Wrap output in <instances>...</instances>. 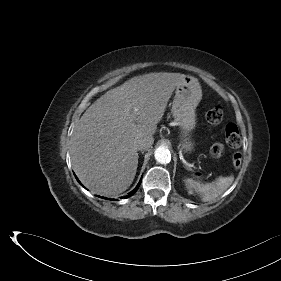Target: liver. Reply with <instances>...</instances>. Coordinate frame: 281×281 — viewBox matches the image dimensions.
<instances>
[{"mask_svg": "<svg viewBox=\"0 0 281 281\" xmlns=\"http://www.w3.org/2000/svg\"><path fill=\"white\" fill-rule=\"evenodd\" d=\"M184 74L135 76L107 91L81 116L71 137L72 167L93 193L126 191L138 165L137 141L153 137Z\"/></svg>", "mask_w": 281, "mask_h": 281, "instance_id": "6515ba94", "label": "liver"}]
</instances>
